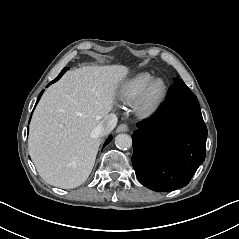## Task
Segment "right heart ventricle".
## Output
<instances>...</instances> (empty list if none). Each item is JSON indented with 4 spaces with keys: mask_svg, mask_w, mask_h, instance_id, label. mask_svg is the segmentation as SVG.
I'll return each instance as SVG.
<instances>
[{
    "mask_svg": "<svg viewBox=\"0 0 239 239\" xmlns=\"http://www.w3.org/2000/svg\"><path fill=\"white\" fill-rule=\"evenodd\" d=\"M155 77L153 73L148 71H142L131 76L119 90L121 101L126 104L135 102L142 91Z\"/></svg>",
    "mask_w": 239,
    "mask_h": 239,
    "instance_id": "1",
    "label": "right heart ventricle"
}]
</instances>
